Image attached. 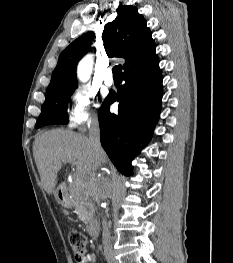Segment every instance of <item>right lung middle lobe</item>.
Wrapping results in <instances>:
<instances>
[{"label":"right lung middle lobe","instance_id":"right-lung-middle-lobe-1","mask_svg":"<svg viewBox=\"0 0 233 263\" xmlns=\"http://www.w3.org/2000/svg\"><path fill=\"white\" fill-rule=\"evenodd\" d=\"M74 89H65L46 96L42 105V112L37 120L35 128L48 124H66L68 116L66 113L68 101Z\"/></svg>","mask_w":233,"mask_h":263}]
</instances>
